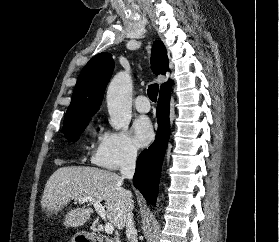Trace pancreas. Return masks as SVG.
Returning a JSON list of instances; mask_svg holds the SVG:
<instances>
[{"label": "pancreas", "mask_w": 279, "mask_h": 242, "mask_svg": "<svg viewBox=\"0 0 279 242\" xmlns=\"http://www.w3.org/2000/svg\"><path fill=\"white\" fill-rule=\"evenodd\" d=\"M105 242H119V241L117 239H112V238L106 237Z\"/></svg>", "instance_id": "1"}]
</instances>
